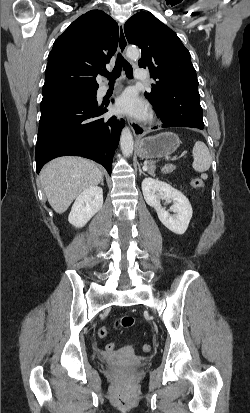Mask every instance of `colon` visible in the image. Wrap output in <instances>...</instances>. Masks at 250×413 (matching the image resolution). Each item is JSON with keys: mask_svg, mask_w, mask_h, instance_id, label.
I'll use <instances>...</instances> for the list:
<instances>
[{"mask_svg": "<svg viewBox=\"0 0 250 413\" xmlns=\"http://www.w3.org/2000/svg\"><path fill=\"white\" fill-rule=\"evenodd\" d=\"M175 169H176V166L174 164L169 163L162 167V172L170 173V172H173ZM191 186L193 188L202 189L204 188V181L201 178H194L191 180ZM115 324L117 327H120V328H130L135 324V319L133 316L125 315V316L120 317L116 321ZM108 329H109V324L107 322H102L98 330V336L100 338L106 337L108 334ZM115 346L116 345L114 342L108 341L104 346V351L107 352L108 354H114ZM142 350L144 352H149L151 350V346L149 344H145L143 345Z\"/></svg>", "mask_w": 250, "mask_h": 413, "instance_id": "5ec220e1", "label": "colon"}]
</instances>
